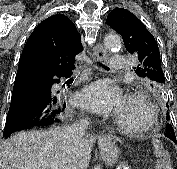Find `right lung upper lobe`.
Returning a JSON list of instances; mask_svg holds the SVG:
<instances>
[{
	"label": "right lung upper lobe",
	"mask_w": 177,
	"mask_h": 169,
	"mask_svg": "<svg viewBox=\"0 0 177 169\" xmlns=\"http://www.w3.org/2000/svg\"><path fill=\"white\" fill-rule=\"evenodd\" d=\"M81 36L72 21L62 14L42 21L23 49L19 68L72 71L75 55L82 51Z\"/></svg>",
	"instance_id": "obj_1"
}]
</instances>
